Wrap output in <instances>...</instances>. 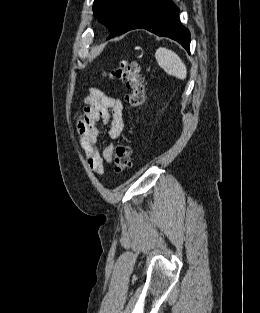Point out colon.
<instances>
[{
    "label": "colon",
    "instance_id": "1",
    "mask_svg": "<svg viewBox=\"0 0 260 313\" xmlns=\"http://www.w3.org/2000/svg\"><path fill=\"white\" fill-rule=\"evenodd\" d=\"M110 77L122 81L129 92L126 101L131 108H137L144 103V79L140 73V65L136 61H121L119 66L110 73ZM132 148L125 143H119L115 148L113 167L116 174H121L131 165Z\"/></svg>",
    "mask_w": 260,
    "mask_h": 313
}]
</instances>
